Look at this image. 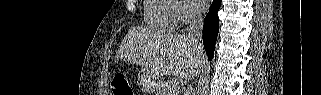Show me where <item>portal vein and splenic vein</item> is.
Here are the masks:
<instances>
[{"label":"portal vein and splenic vein","mask_w":321,"mask_h":95,"mask_svg":"<svg viewBox=\"0 0 321 95\" xmlns=\"http://www.w3.org/2000/svg\"><path fill=\"white\" fill-rule=\"evenodd\" d=\"M170 85L172 86V88H179L180 85H179V82L177 80H171L170 81Z\"/></svg>","instance_id":"18ae733b"}]
</instances>
